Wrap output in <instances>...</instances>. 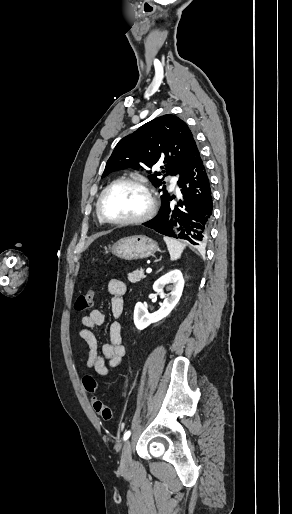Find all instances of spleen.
I'll return each instance as SVG.
<instances>
[{"instance_id":"spleen-1","label":"spleen","mask_w":292,"mask_h":514,"mask_svg":"<svg viewBox=\"0 0 292 514\" xmlns=\"http://www.w3.org/2000/svg\"><path fill=\"white\" fill-rule=\"evenodd\" d=\"M164 242H166L170 260H179L183 250H185V244H182L179 240H172V238H164Z\"/></svg>"}]
</instances>
